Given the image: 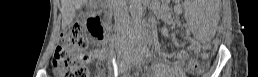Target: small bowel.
Here are the masks:
<instances>
[{
    "label": "small bowel",
    "instance_id": "small-bowel-1",
    "mask_svg": "<svg viewBox=\"0 0 258 77\" xmlns=\"http://www.w3.org/2000/svg\"><path fill=\"white\" fill-rule=\"evenodd\" d=\"M90 57L97 60H103L106 57V54L103 50H95L90 54Z\"/></svg>",
    "mask_w": 258,
    "mask_h": 77
}]
</instances>
